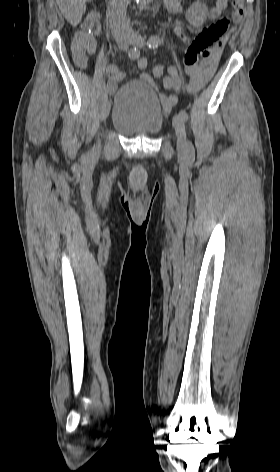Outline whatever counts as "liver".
<instances>
[{"label": "liver", "mask_w": 280, "mask_h": 472, "mask_svg": "<svg viewBox=\"0 0 280 472\" xmlns=\"http://www.w3.org/2000/svg\"><path fill=\"white\" fill-rule=\"evenodd\" d=\"M62 14L73 26L80 23L86 10V3L91 0H56Z\"/></svg>", "instance_id": "1"}]
</instances>
